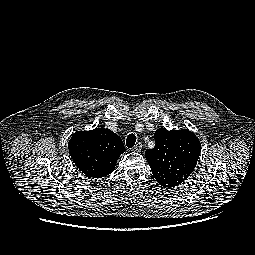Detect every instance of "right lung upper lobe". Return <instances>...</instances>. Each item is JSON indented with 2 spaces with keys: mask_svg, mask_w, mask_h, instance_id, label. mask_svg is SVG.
Returning a JSON list of instances; mask_svg holds the SVG:
<instances>
[{
  "mask_svg": "<svg viewBox=\"0 0 255 255\" xmlns=\"http://www.w3.org/2000/svg\"><path fill=\"white\" fill-rule=\"evenodd\" d=\"M68 149L75 165L89 178L112 173L118 158L126 151L121 138L107 128L76 131Z\"/></svg>",
  "mask_w": 255,
  "mask_h": 255,
  "instance_id": "cb5924a9",
  "label": "right lung upper lobe"
}]
</instances>
